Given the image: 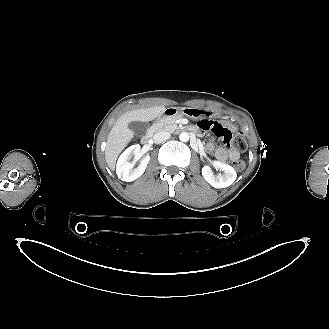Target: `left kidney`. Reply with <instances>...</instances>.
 <instances>
[{
    "label": "left kidney",
    "instance_id": "1",
    "mask_svg": "<svg viewBox=\"0 0 329 329\" xmlns=\"http://www.w3.org/2000/svg\"><path fill=\"white\" fill-rule=\"evenodd\" d=\"M213 166L223 173L214 174L209 166H204L202 176L214 188L228 187L236 180V171L229 164L216 160L213 162Z\"/></svg>",
    "mask_w": 329,
    "mask_h": 329
}]
</instances>
